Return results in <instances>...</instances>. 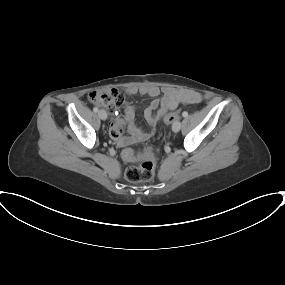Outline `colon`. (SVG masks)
<instances>
[{
	"mask_svg": "<svg viewBox=\"0 0 285 285\" xmlns=\"http://www.w3.org/2000/svg\"><path fill=\"white\" fill-rule=\"evenodd\" d=\"M90 101L104 107L109 112L117 110L121 104V96L115 90L94 91L89 96ZM178 118V114L168 113L165 116L167 124L173 123ZM112 137L121 136V132H111ZM122 157L127 161H136L137 165L129 166L125 171V177L130 182L150 181L154 176L156 165V152L152 148L134 149L126 148L122 152Z\"/></svg>",
	"mask_w": 285,
	"mask_h": 285,
	"instance_id": "obj_1",
	"label": "colon"
}]
</instances>
